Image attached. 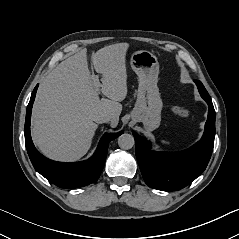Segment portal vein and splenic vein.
<instances>
[{
    "label": "portal vein and splenic vein",
    "instance_id": "portal-vein-and-splenic-vein-1",
    "mask_svg": "<svg viewBox=\"0 0 239 239\" xmlns=\"http://www.w3.org/2000/svg\"><path fill=\"white\" fill-rule=\"evenodd\" d=\"M92 79H93V83H94V87H95L96 91H99V89L101 87V84L99 82L98 77L97 76H93Z\"/></svg>",
    "mask_w": 239,
    "mask_h": 239
}]
</instances>
